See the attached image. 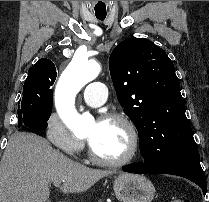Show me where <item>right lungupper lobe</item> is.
<instances>
[{
  "instance_id": "right-lung-upper-lobe-1",
  "label": "right lung upper lobe",
  "mask_w": 209,
  "mask_h": 202,
  "mask_svg": "<svg viewBox=\"0 0 209 202\" xmlns=\"http://www.w3.org/2000/svg\"><path fill=\"white\" fill-rule=\"evenodd\" d=\"M36 75L57 76L56 67L54 63L49 59L41 58L35 65H33L29 69L27 78Z\"/></svg>"
}]
</instances>
